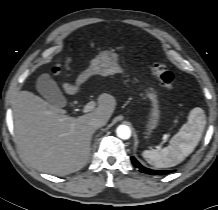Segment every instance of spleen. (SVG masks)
I'll return each instance as SVG.
<instances>
[{
	"label": "spleen",
	"mask_w": 218,
	"mask_h": 210,
	"mask_svg": "<svg viewBox=\"0 0 218 210\" xmlns=\"http://www.w3.org/2000/svg\"><path fill=\"white\" fill-rule=\"evenodd\" d=\"M206 118L201 108L192 109L187 123L183 124L170 140V144L160 150H145L144 159L157 168H169L181 163L198 145L204 128Z\"/></svg>",
	"instance_id": "1"
}]
</instances>
